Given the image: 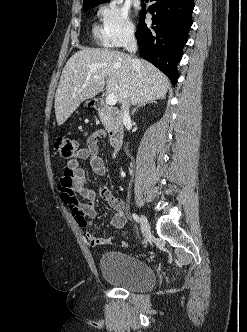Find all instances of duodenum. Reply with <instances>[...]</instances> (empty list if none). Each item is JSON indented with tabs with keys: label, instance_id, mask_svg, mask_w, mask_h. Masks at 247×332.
<instances>
[{
	"label": "duodenum",
	"instance_id": "410a0bca",
	"mask_svg": "<svg viewBox=\"0 0 247 332\" xmlns=\"http://www.w3.org/2000/svg\"><path fill=\"white\" fill-rule=\"evenodd\" d=\"M93 108L108 122L109 137L112 147H120L123 139V127L118 112L100 99L93 101Z\"/></svg>",
	"mask_w": 247,
	"mask_h": 332
}]
</instances>
